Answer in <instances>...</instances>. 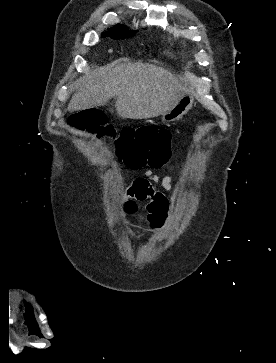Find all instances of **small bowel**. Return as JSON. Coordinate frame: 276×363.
<instances>
[{
	"instance_id": "1",
	"label": "small bowel",
	"mask_w": 276,
	"mask_h": 363,
	"mask_svg": "<svg viewBox=\"0 0 276 363\" xmlns=\"http://www.w3.org/2000/svg\"><path fill=\"white\" fill-rule=\"evenodd\" d=\"M156 185H160L167 192L174 190L170 175L160 177L151 170H147L144 176L136 178L127 190L129 199L126 204L127 211L133 214L137 211V203L148 202V217L151 223V217L159 218L161 214H164L168 208V199L156 188Z\"/></svg>"
}]
</instances>
